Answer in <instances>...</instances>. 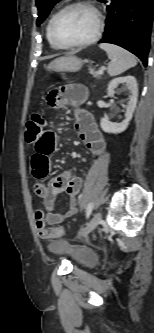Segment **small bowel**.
Returning a JSON list of instances; mask_svg holds the SVG:
<instances>
[{"instance_id":"1","label":"small bowel","mask_w":154,"mask_h":333,"mask_svg":"<svg viewBox=\"0 0 154 333\" xmlns=\"http://www.w3.org/2000/svg\"><path fill=\"white\" fill-rule=\"evenodd\" d=\"M88 96L87 88L82 84L70 83L53 91L48 97L50 105L61 107H78ZM75 129L80 139L95 155H101L106 148V142L100 132L93 115L83 109L74 113ZM57 148V135L50 129H42L37 136L31 157V172L34 178H45L52 167L51 155ZM82 188V179L69 173L61 174L51 179L48 184L36 182L33 191L42 199L45 209L44 221L48 225H59L66 218L77 212V198ZM64 192L69 198V206L63 212H57L56 196Z\"/></svg>"}]
</instances>
